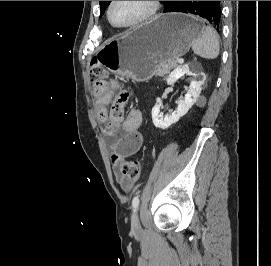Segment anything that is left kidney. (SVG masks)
<instances>
[{"mask_svg": "<svg viewBox=\"0 0 271 266\" xmlns=\"http://www.w3.org/2000/svg\"><path fill=\"white\" fill-rule=\"evenodd\" d=\"M185 74L194 76L195 79L191 82L184 98L178 102L177 109L171 114L164 116L160 110L162 108L161 102H157L152 108V121L155 127L160 129H167L172 124L179 121V119L183 117L197 101L202 90L201 87L206 80V75L202 72V68L199 65H192V67L189 65H183L176 68L167 78V84L173 85Z\"/></svg>", "mask_w": 271, "mask_h": 266, "instance_id": "5707ae66", "label": "left kidney"}]
</instances>
